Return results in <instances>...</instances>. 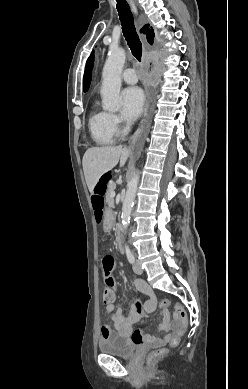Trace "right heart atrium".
Masks as SVG:
<instances>
[{"mask_svg": "<svg viewBox=\"0 0 248 389\" xmlns=\"http://www.w3.org/2000/svg\"><path fill=\"white\" fill-rule=\"evenodd\" d=\"M111 122L115 131H120L122 129L123 121L118 115L111 114Z\"/></svg>", "mask_w": 248, "mask_h": 389, "instance_id": "1", "label": "right heart atrium"}]
</instances>
